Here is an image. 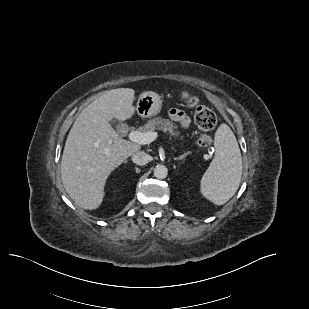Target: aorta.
<instances>
[{
    "label": "aorta",
    "instance_id": "1",
    "mask_svg": "<svg viewBox=\"0 0 309 309\" xmlns=\"http://www.w3.org/2000/svg\"><path fill=\"white\" fill-rule=\"evenodd\" d=\"M167 175H168V169L166 168V166H164V165H157L154 168V176L157 179H164V178L167 177Z\"/></svg>",
    "mask_w": 309,
    "mask_h": 309
}]
</instances>
